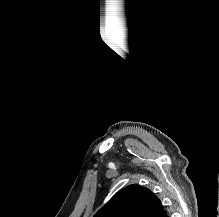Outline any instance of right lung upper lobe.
Wrapping results in <instances>:
<instances>
[{
  "label": "right lung upper lobe",
  "mask_w": 219,
  "mask_h": 217,
  "mask_svg": "<svg viewBox=\"0 0 219 217\" xmlns=\"http://www.w3.org/2000/svg\"><path fill=\"white\" fill-rule=\"evenodd\" d=\"M94 217H168L161 201L147 188L129 185L120 190Z\"/></svg>",
  "instance_id": "1"
}]
</instances>
